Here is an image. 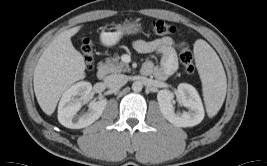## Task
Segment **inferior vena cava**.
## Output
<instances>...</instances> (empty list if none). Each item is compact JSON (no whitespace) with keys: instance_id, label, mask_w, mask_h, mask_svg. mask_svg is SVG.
Masks as SVG:
<instances>
[{"instance_id":"inferior-vena-cava-1","label":"inferior vena cava","mask_w":267,"mask_h":166,"mask_svg":"<svg viewBox=\"0 0 267 166\" xmlns=\"http://www.w3.org/2000/svg\"><path fill=\"white\" fill-rule=\"evenodd\" d=\"M108 88H119L127 83V77L122 74H111L104 80Z\"/></svg>"}]
</instances>
